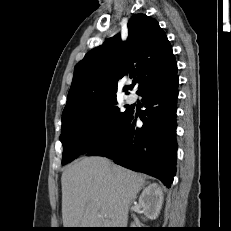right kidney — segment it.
<instances>
[{
  "label": "right kidney",
  "mask_w": 231,
  "mask_h": 231,
  "mask_svg": "<svg viewBox=\"0 0 231 231\" xmlns=\"http://www.w3.org/2000/svg\"><path fill=\"white\" fill-rule=\"evenodd\" d=\"M163 191L161 187L156 184H150L146 187L139 197V204L143 208L144 214L147 218L155 220L160 214L163 204ZM135 224H132L134 227Z\"/></svg>",
  "instance_id": "obj_1"
}]
</instances>
